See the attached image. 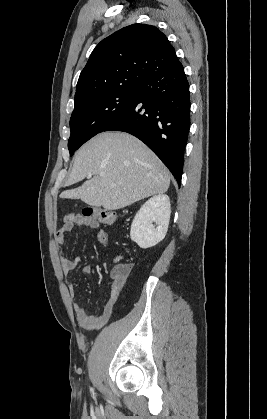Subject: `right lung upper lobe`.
Returning a JSON list of instances; mask_svg holds the SVG:
<instances>
[{"label": "right lung upper lobe", "instance_id": "1", "mask_svg": "<svg viewBox=\"0 0 267 419\" xmlns=\"http://www.w3.org/2000/svg\"><path fill=\"white\" fill-rule=\"evenodd\" d=\"M178 61L167 37L155 26L133 24L102 40L82 70L74 104L109 90L140 86Z\"/></svg>", "mask_w": 267, "mask_h": 419}]
</instances>
